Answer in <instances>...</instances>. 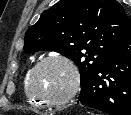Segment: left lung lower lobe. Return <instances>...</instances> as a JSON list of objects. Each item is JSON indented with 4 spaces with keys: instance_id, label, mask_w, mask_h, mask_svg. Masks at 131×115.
Instances as JSON below:
<instances>
[{
    "instance_id": "0a47b994",
    "label": "left lung lower lobe",
    "mask_w": 131,
    "mask_h": 115,
    "mask_svg": "<svg viewBox=\"0 0 131 115\" xmlns=\"http://www.w3.org/2000/svg\"><path fill=\"white\" fill-rule=\"evenodd\" d=\"M79 101L109 115H131V32L109 53Z\"/></svg>"
}]
</instances>
